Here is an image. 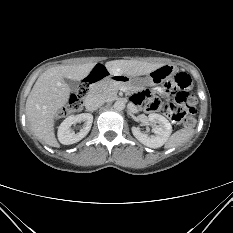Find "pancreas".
Returning a JSON list of instances; mask_svg holds the SVG:
<instances>
[{
  "mask_svg": "<svg viewBox=\"0 0 233 233\" xmlns=\"http://www.w3.org/2000/svg\"><path fill=\"white\" fill-rule=\"evenodd\" d=\"M99 87L100 92L107 98H112L116 96L121 87H125L127 88V90H132L125 84H122L120 82H111L109 80L102 81L99 84Z\"/></svg>",
  "mask_w": 233,
  "mask_h": 233,
  "instance_id": "pancreas-1",
  "label": "pancreas"
}]
</instances>
